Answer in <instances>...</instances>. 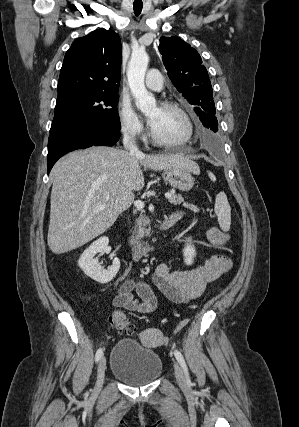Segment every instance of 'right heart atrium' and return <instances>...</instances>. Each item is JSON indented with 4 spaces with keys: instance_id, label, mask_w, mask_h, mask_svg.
I'll return each mask as SVG.
<instances>
[{
    "instance_id": "d8ad5b80",
    "label": "right heart atrium",
    "mask_w": 299,
    "mask_h": 427,
    "mask_svg": "<svg viewBox=\"0 0 299 427\" xmlns=\"http://www.w3.org/2000/svg\"><path fill=\"white\" fill-rule=\"evenodd\" d=\"M117 115L122 134L129 139H140L145 133L143 123L132 108L129 100L121 98L117 105Z\"/></svg>"
}]
</instances>
